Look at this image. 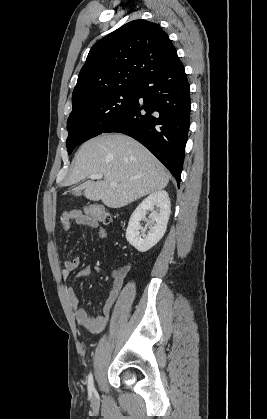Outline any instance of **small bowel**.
Instances as JSON below:
<instances>
[{"mask_svg": "<svg viewBox=\"0 0 267 419\" xmlns=\"http://www.w3.org/2000/svg\"><path fill=\"white\" fill-rule=\"evenodd\" d=\"M60 221L64 231L70 230L73 223H76L88 229L97 230V236L100 240H105L108 237V232L105 228L100 227L97 221L89 219L82 215V213L79 210H72L63 213L60 218ZM79 264V257H73L69 260H66L64 262V267L61 272L62 278L67 279L70 273L78 268ZM90 273L91 268L89 266H86L78 272L76 279H81L85 276H88ZM126 274V269H122L113 273V284L108 289V297L103 307V315L99 317H91L84 308L80 307L79 297L75 287L72 286L67 289L69 302L71 308L74 310L75 320L80 326L84 327L92 333L101 332L106 327L113 306L123 286Z\"/></svg>", "mask_w": 267, "mask_h": 419, "instance_id": "small-bowel-1", "label": "small bowel"}]
</instances>
